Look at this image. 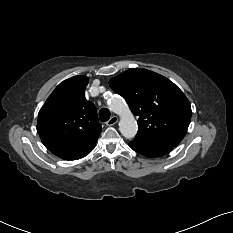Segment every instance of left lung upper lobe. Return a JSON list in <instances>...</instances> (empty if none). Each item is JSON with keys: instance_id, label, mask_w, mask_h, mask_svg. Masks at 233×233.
<instances>
[{"instance_id": "5c2ea615", "label": "left lung upper lobe", "mask_w": 233, "mask_h": 233, "mask_svg": "<svg viewBox=\"0 0 233 233\" xmlns=\"http://www.w3.org/2000/svg\"><path fill=\"white\" fill-rule=\"evenodd\" d=\"M132 113L138 116L135 140L177 146L184 138L191 106L170 80L147 69L132 68L109 81Z\"/></svg>"}]
</instances>
